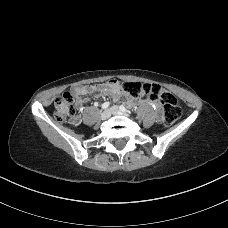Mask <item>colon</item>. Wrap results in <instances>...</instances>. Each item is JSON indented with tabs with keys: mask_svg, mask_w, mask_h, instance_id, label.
<instances>
[{
	"mask_svg": "<svg viewBox=\"0 0 228 228\" xmlns=\"http://www.w3.org/2000/svg\"><path fill=\"white\" fill-rule=\"evenodd\" d=\"M120 87L130 96L160 102L163 107V123L171 125L177 121L182 109L176 97L156 84L141 82H123ZM54 117L57 121L65 122L75 117V107L73 96L69 92L58 95L54 102Z\"/></svg>",
	"mask_w": 228,
	"mask_h": 228,
	"instance_id": "5ec220e1",
	"label": "colon"
}]
</instances>
